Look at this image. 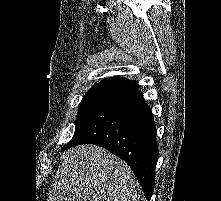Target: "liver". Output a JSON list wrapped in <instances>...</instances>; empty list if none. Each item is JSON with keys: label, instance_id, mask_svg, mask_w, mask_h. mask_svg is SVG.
Here are the masks:
<instances>
[{"label": "liver", "instance_id": "1", "mask_svg": "<svg viewBox=\"0 0 221 201\" xmlns=\"http://www.w3.org/2000/svg\"><path fill=\"white\" fill-rule=\"evenodd\" d=\"M49 201H137L139 185L131 168L97 145L63 153Z\"/></svg>", "mask_w": 221, "mask_h": 201}]
</instances>
